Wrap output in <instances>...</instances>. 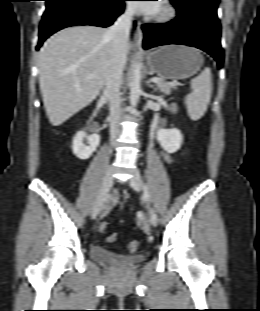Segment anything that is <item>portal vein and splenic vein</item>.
I'll return each mask as SVG.
<instances>
[{
    "label": "portal vein and splenic vein",
    "mask_w": 260,
    "mask_h": 311,
    "mask_svg": "<svg viewBox=\"0 0 260 311\" xmlns=\"http://www.w3.org/2000/svg\"><path fill=\"white\" fill-rule=\"evenodd\" d=\"M90 77H94V75L92 74V75H90ZM151 81L154 82V83H157V82H159V79L157 77H153L151 79ZM171 84H173V83H171Z\"/></svg>",
    "instance_id": "1"
}]
</instances>
